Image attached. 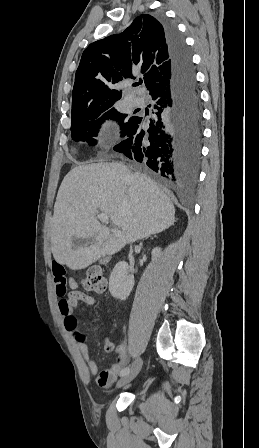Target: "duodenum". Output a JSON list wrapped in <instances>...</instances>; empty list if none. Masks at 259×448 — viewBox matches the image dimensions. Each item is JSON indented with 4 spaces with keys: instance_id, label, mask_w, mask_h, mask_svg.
Instances as JSON below:
<instances>
[{
    "instance_id": "obj_1",
    "label": "duodenum",
    "mask_w": 259,
    "mask_h": 448,
    "mask_svg": "<svg viewBox=\"0 0 259 448\" xmlns=\"http://www.w3.org/2000/svg\"><path fill=\"white\" fill-rule=\"evenodd\" d=\"M109 260V256H105L102 258L101 262L106 263Z\"/></svg>"
}]
</instances>
